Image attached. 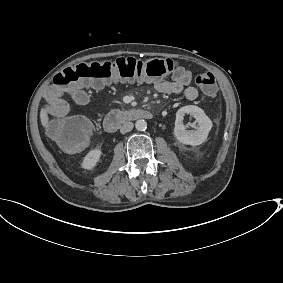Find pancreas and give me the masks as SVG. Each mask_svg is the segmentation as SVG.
<instances>
[{
    "instance_id": "cf45deb5",
    "label": "pancreas",
    "mask_w": 283,
    "mask_h": 283,
    "mask_svg": "<svg viewBox=\"0 0 283 283\" xmlns=\"http://www.w3.org/2000/svg\"><path fill=\"white\" fill-rule=\"evenodd\" d=\"M134 109H127L120 112L124 120H130L133 115Z\"/></svg>"
}]
</instances>
